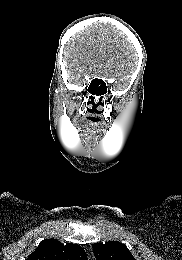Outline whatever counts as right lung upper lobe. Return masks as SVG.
Returning a JSON list of instances; mask_svg holds the SVG:
<instances>
[{"mask_svg": "<svg viewBox=\"0 0 182 260\" xmlns=\"http://www.w3.org/2000/svg\"><path fill=\"white\" fill-rule=\"evenodd\" d=\"M26 260H86V252L76 244H62L56 239H45Z\"/></svg>", "mask_w": 182, "mask_h": 260, "instance_id": "cb5924a9", "label": "right lung upper lobe"}]
</instances>
